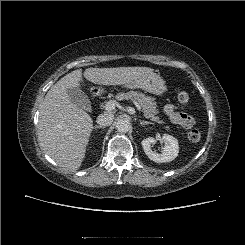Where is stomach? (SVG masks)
<instances>
[{
	"instance_id": "1",
	"label": "stomach",
	"mask_w": 245,
	"mask_h": 245,
	"mask_svg": "<svg viewBox=\"0 0 245 245\" xmlns=\"http://www.w3.org/2000/svg\"><path fill=\"white\" fill-rule=\"evenodd\" d=\"M127 88H140L155 95H163L167 92L165 81L157 73H149L134 79L126 84Z\"/></svg>"
}]
</instances>
